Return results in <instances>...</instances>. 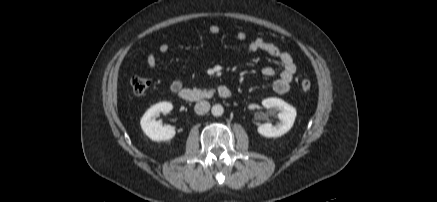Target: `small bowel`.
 Wrapping results in <instances>:
<instances>
[{"label": "small bowel", "mask_w": 437, "mask_h": 202, "mask_svg": "<svg viewBox=\"0 0 437 202\" xmlns=\"http://www.w3.org/2000/svg\"><path fill=\"white\" fill-rule=\"evenodd\" d=\"M209 32L212 35H219L221 31L217 25H211L209 27ZM236 39L243 42L246 40V34L240 31L236 34ZM170 48L171 43L165 41L159 46L158 50L159 53L164 55L170 51ZM246 50L248 53L262 51L276 58L281 63L282 69L278 78L273 83V89L278 94H284L289 91L297 67L292 56L288 52L281 50L277 45L262 37H256L250 40L246 46ZM146 67L152 73L157 74L159 66L157 56L154 52H149L147 54ZM261 73L263 76L272 77L276 74V70L273 67L267 66L261 70ZM181 88H183V82L180 79H174L170 84L171 91L175 93H177Z\"/></svg>", "instance_id": "obj_1"}]
</instances>
